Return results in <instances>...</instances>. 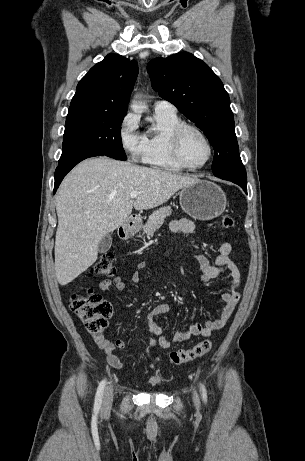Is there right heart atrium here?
<instances>
[{
  "label": "right heart atrium",
  "instance_id": "obj_1",
  "mask_svg": "<svg viewBox=\"0 0 305 461\" xmlns=\"http://www.w3.org/2000/svg\"><path fill=\"white\" fill-rule=\"evenodd\" d=\"M119 140L123 149L132 157L140 154L141 135L137 131V120L133 114H127L119 129Z\"/></svg>",
  "mask_w": 305,
  "mask_h": 461
}]
</instances>
